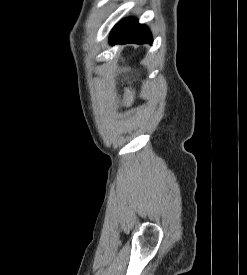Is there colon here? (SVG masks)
Returning a JSON list of instances; mask_svg holds the SVG:
<instances>
[{"label": "colon", "mask_w": 247, "mask_h": 275, "mask_svg": "<svg viewBox=\"0 0 247 275\" xmlns=\"http://www.w3.org/2000/svg\"><path fill=\"white\" fill-rule=\"evenodd\" d=\"M128 93H129L130 97L133 96V91L132 90H129Z\"/></svg>", "instance_id": "5ec220e1"}]
</instances>
